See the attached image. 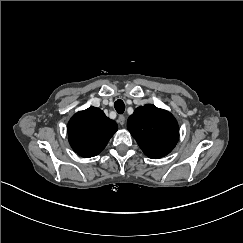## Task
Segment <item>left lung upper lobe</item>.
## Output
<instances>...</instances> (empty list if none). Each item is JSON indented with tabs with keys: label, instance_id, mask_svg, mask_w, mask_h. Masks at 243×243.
Wrapping results in <instances>:
<instances>
[{
	"label": "left lung upper lobe",
	"instance_id": "5c2ea615",
	"mask_svg": "<svg viewBox=\"0 0 243 243\" xmlns=\"http://www.w3.org/2000/svg\"><path fill=\"white\" fill-rule=\"evenodd\" d=\"M127 128L145 155L152 159L170 153L179 138L178 124L173 115L152 104L136 108L128 118Z\"/></svg>",
	"mask_w": 243,
	"mask_h": 243
}]
</instances>
